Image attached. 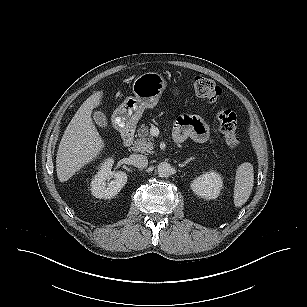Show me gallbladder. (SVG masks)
I'll return each instance as SVG.
<instances>
[{
	"label": "gallbladder",
	"mask_w": 307,
	"mask_h": 307,
	"mask_svg": "<svg viewBox=\"0 0 307 307\" xmlns=\"http://www.w3.org/2000/svg\"><path fill=\"white\" fill-rule=\"evenodd\" d=\"M93 119L99 127L107 128L108 122H107L106 115L102 113L101 111H96L93 115Z\"/></svg>",
	"instance_id": "bac80fb5"
}]
</instances>
